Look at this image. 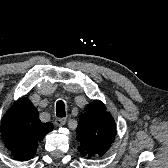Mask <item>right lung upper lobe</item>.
I'll use <instances>...</instances> for the list:
<instances>
[{"label":"right lung upper lobe","instance_id":"right-lung-upper-lobe-1","mask_svg":"<svg viewBox=\"0 0 168 168\" xmlns=\"http://www.w3.org/2000/svg\"><path fill=\"white\" fill-rule=\"evenodd\" d=\"M51 123H42L36 108L27 98L15 101L0 123V139L17 160H30L38 143L53 130Z\"/></svg>","mask_w":168,"mask_h":168}]
</instances>
